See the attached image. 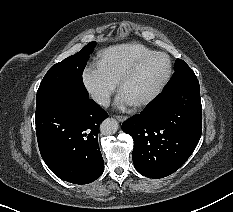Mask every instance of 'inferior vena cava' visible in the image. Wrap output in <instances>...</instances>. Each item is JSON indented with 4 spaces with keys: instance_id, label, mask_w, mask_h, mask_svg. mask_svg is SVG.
<instances>
[{
    "instance_id": "602c4592",
    "label": "inferior vena cava",
    "mask_w": 233,
    "mask_h": 212,
    "mask_svg": "<svg viewBox=\"0 0 233 212\" xmlns=\"http://www.w3.org/2000/svg\"><path fill=\"white\" fill-rule=\"evenodd\" d=\"M92 98L102 106L110 105V96L107 92H97L92 95Z\"/></svg>"
}]
</instances>
